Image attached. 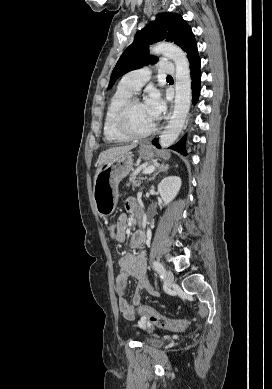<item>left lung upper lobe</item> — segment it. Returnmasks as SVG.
Wrapping results in <instances>:
<instances>
[{
    "label": "left lung upper lobe",
    "mask_w": 272,
    "mask_h": 389,
    "mask_svg": "<svg viewBox=\"0 0 272 389\" xmlns=\"http://www.w3.org/2000/svg\"><path fill=\"white\" fill-rule=\"evenodd\" d=\"M161 40L176 43L188 57L197 46L190 26L181 15L171 12L160 13L154 21L136 33L133 43L123 52L112 71L108 89L125 73L156 62V58L148 55V48L150 44Z\"/></svg>",
    "instance_id": "left-lung-upper-lobe-1"
}]
</instances>
